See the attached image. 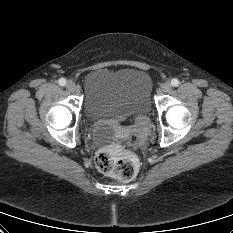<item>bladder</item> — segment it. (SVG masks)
<instances>
[{"instance_id": "obj_1", "label": "bladder", "mask_w": 233, "mask_h": 233, "mask_svg": "<svg viewBox=\"0 0 233 233\" xmlns=\"http://www.w3.org/2000/svg\"><path fill=\"white\" fill-rule=\"evenodd\" d=\"M83 88V115L89 123L122 120L152 109V78L138 68L92 71L85 76Z\"/></svg>"}]
</instances>
